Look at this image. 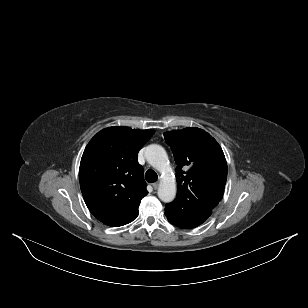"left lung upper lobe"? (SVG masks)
Segmentation results:
<instances>
[{"instance_id": "1", "label": "left lung upper lobe", "mask_w": 308, "mask_h": 308, "mask_svg": "<svg viewBox=\"0 0 308 308\" xmlns=\"http://www.w3.org/2000/svg\"><path fill=\"white\" fill-rule=\"evenodd\" d=\"M176 168L177 196L166 204L165 214L187 219L213 210L221 201L227 180V163L217 141L199 128L164 133Z\"/></svg>"}]
</instances>
